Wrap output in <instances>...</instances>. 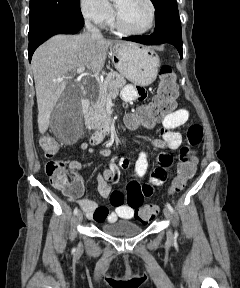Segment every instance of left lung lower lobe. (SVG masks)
<instances>
[{"mask_svg": "<svg viewBox=\"0 0 240 288\" xmlns=\"http://www.w3.org/2000/svg\"><path fill=\"white\" fill-rule=\"evenodd\" d=\"M125 40L134 41L146 45H155L170 43L174 45L179 51L180 57L182 58V35L181 29H164L160 31H154L150 36H136L124 38Z\"/></svg>", "mask_w": 240, "mask_h": 288, "instance_id": "left-lung-lower-lobe-1", "label": "left lung lower lobe"}]
</instances>
